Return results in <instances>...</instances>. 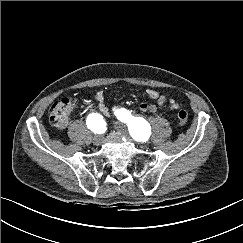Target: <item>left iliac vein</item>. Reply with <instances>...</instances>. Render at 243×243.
<instances>
[{"label": "left iliac vein", "mask_w": 243, "mask_h": 243, "mask_svg": "<svg viewBox=\"0 0 243 243\" xmlns=\"http://www.w3.org/2000/svg\"><path fill=\"white\" fill-rule=\"evenodd\" d=\"M114 128L119 131V132H123V133H127V127L125 124L121 123V122H115L114 123Z\"/></svg>", "instance_id": "4c4485c4"}]
</instances>
